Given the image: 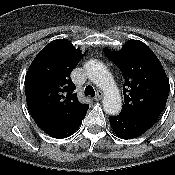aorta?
I'll list each match as a JSON object with an SVG mask.
<instances>
[{
  "instance_id": "aorta-1",
  "label": "aorta",
  "mask_w": 175,
  "mask_h": 175,
  "mask_svg": "<svg viewBox=\"0 0 175 175\" xmlns=\"http://www.w3.org/2000/svg\"><path fill=\"white\" fill-rule=\"evenodd\" d=\"M88 78L104 91L103 108L109 115H117L121 111L122 101L119 90L104 64L90 60L85 64Z\"/></svg>"
}]
</instances>
